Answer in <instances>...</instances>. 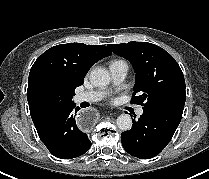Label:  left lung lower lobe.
<instances>
[{
    "instance_id": "0a47b994",
    "label": "left lung lower lobe",
    "mask_w": 209,
    "mask_h": 179,
    "mask_svg": "<svg viewBox=\"0 0 209 179\" xmlns=\"http://www.w3.org/2000/svg\"><path fill=\"white\" fill-rule=\"evenodd\" d=\"M131 130L121 134L123 148L132 156L149 159L158 155L170 142L177 129L183 109L146 108Z\"/></svg>"
}]
</instances>
